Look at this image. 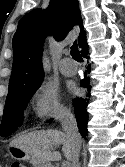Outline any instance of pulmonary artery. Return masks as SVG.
<instances>
[{
    "label": "pulmonary artery",
    "mask_w": 125,
    "mask_h": 167,
    "mask_svg": "<svg viewBox=\"0 0 125 167\" xmlns=\"http://www.w3.org/2000/svg\"><path fill=\"white\" fill-rule=\"evenodd\" d=\"M71 62L70 58H64L60 63V71L63 75L71 77L77 73L78 67L76 64L69 65Z\"/></svg>",
    "instance_id": "pulmonary-artery-1"
}]
</instances>
